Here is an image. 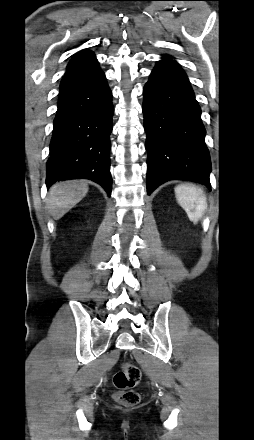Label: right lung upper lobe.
<instances>
[{"mask_svg": "<svg viewBox=\"0 0 254 440\" xmlns=\"http://www.w3.org/2000/svg\"><path fill=\"white\" fill-rule=\"evenodd\" d=\"M95 60H96L95 54L92 51L82 50L73 56V58L70 60L67 66L66 71H70L72 69L78 68Z\"/></svg>", "mask_w": 254, "mask_h": 440, "instance_id": "obj_1", "label": "right lung upper lobe"}]
</instances>
